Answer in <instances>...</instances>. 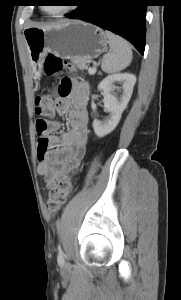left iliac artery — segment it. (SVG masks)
<instances>
[{
  "mask_svg": "<svg viewBox=\"0 0 181 300\" xmlns=\"http://www.w3.org/2000/svg\"><path fill=\"white\" fill-rule=\"evenodd\" d=\"M58 263L63 264L64 263V253L61 249H59L58 257H57Z\"/></svg>",
  "mask_w": 181,
  "mask_h": 300,
  "instance_id": "1",
  "label": "left iliac artery"
}]
</instances>
